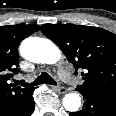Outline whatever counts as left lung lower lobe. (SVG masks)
<instances>
[{
    "instance_id": "0a47b994",
    "label": "left lung lower lobe",
    "mask_w": 116,
    "mask_h": 116,
    "mask_svg": "<svg viewBox=\"0 0 116 116\" xmlns=\"http://www.w3.org/2000/svg\"><path fill=\"white\" fill-rule=\"evenodd\" d=\"M83 108L70 116H116V95L94 91H81Z\"/></svg>"
}]
</instances>
